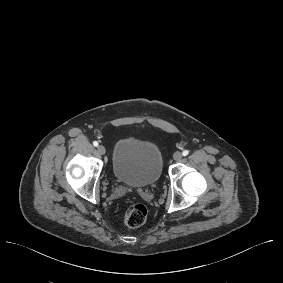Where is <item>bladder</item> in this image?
<instances>
[{"label":"bladder","mask_w":283,"mask_h":283,"mask_svg":"<svg viewBox=\"0 0 283 283\" xmlns=\"http://www.w3.org/2000/svg\"><path fill=\"white\" fill-rule=\"evenodd\" d=\"M162 162L161 151L154 142L122 137L114 149L113 174L123 184L144 187L158 181Z\"/></svg>","instance_id":"bladder-1"}]
</instances>
